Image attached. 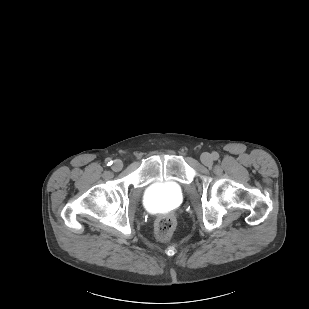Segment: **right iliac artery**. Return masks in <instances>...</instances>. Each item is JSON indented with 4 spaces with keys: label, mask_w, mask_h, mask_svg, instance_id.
Returning <instances> with one entry per match:
<instances>
[{
    "label": "right iliac artery",
    "mask_w": 309,
    "mask_h": 309,
    "mask_svg": "<svg viewBox=\"0 0 309 309\" xmlns=\"http://www.w3.org/2000/svg\"><path fill=\"white\" fill-rule=\"evenodd\" d=\"M105 163L107 164V166H111L113 161L108 158V159L105 160Z\"/></svg>",
    "instance_id": "obj_1"
}]
</instances>
